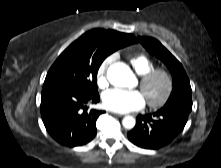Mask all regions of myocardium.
Returning <instances> with one entry per match:
<instances>
[{
    "label": "myocardium",
    "mask_w": 221,
    "mask_h": 168,
    "mask_svg": "<svg viewBox=\"0 0 221 168\" xmlns=\"http://www.w3.org/2000/svg\"><path fill=\"white\" fill-rule=\"evenodd\" d=\"M157 77L163 78L165 82V90L159 99L147 100L148 106L152 109H158L164 106L169 101L174 89L173 76L169 70L164 68H154L151 71L141 75L139 81L140 88L144 89Z\"/></svg>",
    "instance_id": "obj_1"
}]
</instances>
